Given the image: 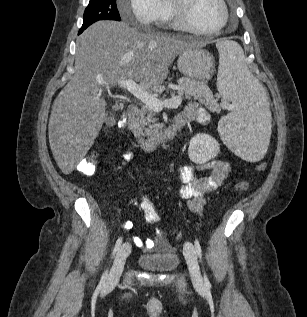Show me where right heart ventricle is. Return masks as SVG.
<instances>
[{"mask_svg":"<svg viewBox=\"0 0 307 317\" xmlns=\"http://www.w3.org/2000/svg\"><path fill=\"white\" fill-rule=\"evenodd\" d=\"M163 7H164V16H163L161 22L163 24H167V25H169L171 27L176 28L177 25L175 24L174 19H173V15H172V11H171L169 0H164L163 1Z\"/></svg>","mask_w":307,"mask_h":317,"instance_id":"right-heart-ventricle-1","label":"right heart ventricle"}]
</instances>
